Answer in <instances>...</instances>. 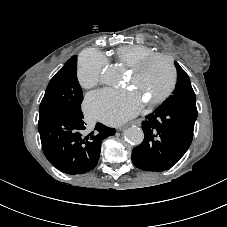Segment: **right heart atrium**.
Here are the masks:
<instances>
[{"mask_svg": "<svg viewBox=\"0 0 227 227\" xmlns=\"http://www.w3.org/2000/svg\"><path fill=\"white\" fill-rule=\"evenodd\" d=\"M107 64L108 60L101 52L94 49L85 50L78 62L77 77L80 85L86 89L97 86Z\"/></svg>", "mask_w": 227, "mask_h": 227, "instance_id": "d8ad5b80", "label": "right heart atrium"}]
</instances>
